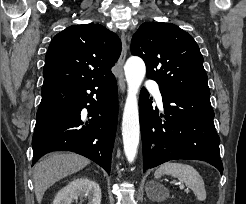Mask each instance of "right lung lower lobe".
<instances>
[{
    "label": "right lung lower lobe",
    "mask_w": 246,
    "mask_h": 204,
    "mask_svg": "<svg viewBox=\"0 0 246 204\" xmlns=\"http://www.w3.org/2000/svg\"><path fill=\"white\" fill-rule=\"evenodd\" d=\"M117 116L114 75L42 89L32 139V165L46 153L67 150L93 160L110 174Z\"/></svg>",
    "instance_id": "right-lung-lower-lobe-1"
}]
</instances>
